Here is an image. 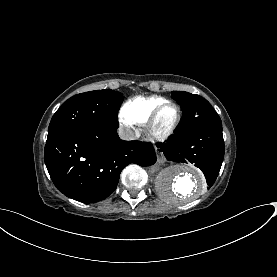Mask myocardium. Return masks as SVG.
Instances as JSON below:
<instances>
[{
  "label": "myocardium",
  "mask_w": 277,
  "mask_h": 277,
  "mask_svg": "<svg viewBox=\"0 0 277 277\" xmlns=\"http://www.w3.org/2000/svg\"><path fill=\"white\" fill-rule=\"evenodd\" d=\"M168 106H174L176 108V112H177L176 120L170 129H168L166 132L161 133L156 130V124H157L160 113L162 112L163 109H165ZM181 118H182L181 108L177 103H175L173 101H165V102L159 104L152 111L150 117L148 118V120L145 123L144 127H145V131L147 133V136L153 141H164V140L168 139L175 133V131L179 127Z\"/></svg>",
  "instance_id": "1"
}]
</instances>
